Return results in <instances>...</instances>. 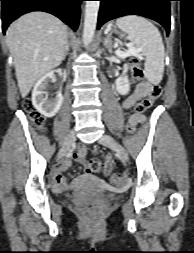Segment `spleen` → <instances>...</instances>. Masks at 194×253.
Instances as JSON below:
<instances>
[{"mask_svg":"<svg viewBox=\"0 0 194 253\" xmlns=\"http://www.w3.org/2000/svg\"><path fill=\"white\" fill-rule=\"evenodd\" d=\"M116 25L128 34L130 43L145 57V77L153 84L160 83L164 72L165 50L157 27L136 15L121 17L117 19Z\"/></svg>","mask_w":194,"mask_h":253,"instance_id":"spleen-1","label":"spleen"}]
</instances>
